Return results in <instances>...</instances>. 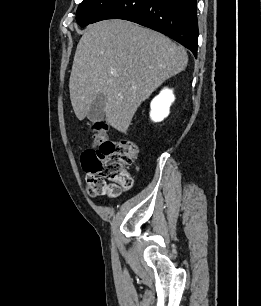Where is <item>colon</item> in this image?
Wrapping results in <instances>:
<instances>
[{
    "label": "colon",
    "instance_id": "5ec220e1",
    "mask_svg": "<svg viewBox=\"0 0 261 306\" xmlns=\"http://www.w3.org/2000/svg\"><path fill=\"white\" fill-rule=\"evenodd\" d=\"M91 127L95 147L85 150L81 157L90 193L97 195L109 190L129 188L132 179L128 167L137 156V145L127 139H107V124L104 121H95Z\"/></svg>",
    "mask_w": 261,
    "mask_h": 306
}]
</instances>
